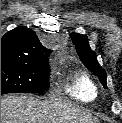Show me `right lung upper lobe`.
Returning a JSON list of instances; mask_svg holds the SVG:
<instances>
[{"label": "right lung upper lobe", "mask_w": 122, "mask_h": 123, "mask_svg": "<svg viewBox=\"0 0 122 123\" xmlns=\"http://www.w3.org/2000/svg\"><path fill=\"white\" fill-rule=\"evenodd\" d=\"M51 50L45 48L36 33L26 27H17L1 38V57L27 60H48Z\"/></svg>", "instance_id": "right-lung-upper-lobe-1"}]
</instances>
